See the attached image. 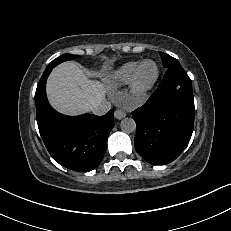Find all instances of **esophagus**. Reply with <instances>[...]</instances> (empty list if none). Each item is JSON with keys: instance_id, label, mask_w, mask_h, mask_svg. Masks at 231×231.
<instances>
[{"instance_id": "1", "label": "esophagus", "mask_w": 231, "mask_h": 231, "mask_svg": "<svg viewBox=\"0 0 231 231\" xmlns=\"http://www.w3.org/2000/svg\"><path fill=\"white\" fill-rule=\"evenodd\" d=\"M114 116L116 119L120 120L126 116V112L122 109H116L114 112Z\"/></svg>"}]
</instances>
